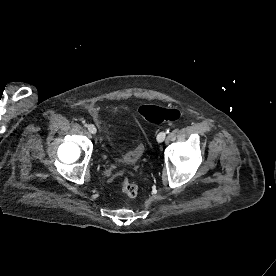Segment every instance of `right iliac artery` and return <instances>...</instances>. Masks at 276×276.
I'll list each match as a JSON object with an SVG mask.
<instances>
[{
    "label": "right iliac artery",
    "instance_id": "obj_1",
    "mask_svg": "<svg viewBox=\"0 0 276 276\" xmlns=\"http://www.w3.org/2000/svg\"><path fill=\"white\" fill-rule=\"evenodd\" d=\"M82 123H83V125H84L85 127H88V124H87V122H86L85 120H82Z\"/></svg>",
    "mask_w": 276,
    "mask_h": 276
}]
</instances>
